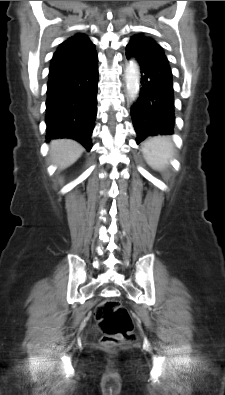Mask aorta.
<instances>
[{
    "instance_id": "1",
    "label": "aorta",
    "mask_w": 225,
    "mask_h": 395,
    "mask_svg": "<svg viewBox=\"0 0 225 395\" xmlns=\"http://www.w3.org/2000/svg\"><path fill=\"white\" fill-rule=\"evenodd\" d=\"M125 82L130 102H134L138 97L140 89L139 66L134 60H131L126 65Z\"/></svg>"
}]
</instances>
